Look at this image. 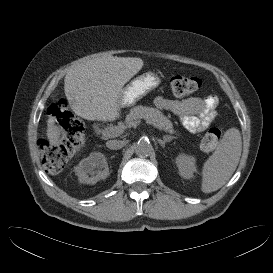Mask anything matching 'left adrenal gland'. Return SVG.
Masks as SVG:
<instances>
[{
    "label": "left adrenal gland",
    "instance_id": "1",
    "mask_svg": "<svg viewBox=\"0 0 273 273\" xmlns=\"http://www.w3.org/2000/svg\"><path fill=\"white\" fill-rule=\"evenodd\" d=\"M174 137L172 136H164L163 139H157L158 143L164 148L165 143L170 142Z\"/></svg>",
    "mask_w": 273,
    "mask_h": 273
}]
</instances>
